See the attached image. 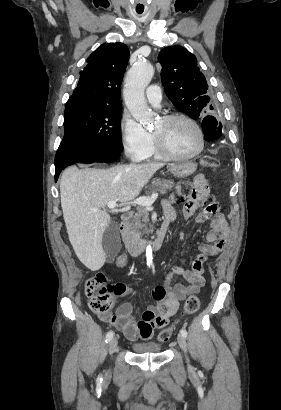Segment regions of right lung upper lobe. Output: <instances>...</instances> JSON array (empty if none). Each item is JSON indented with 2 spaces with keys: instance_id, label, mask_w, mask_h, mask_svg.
I'll list each match as a JSON object with an SVG mask.
<instances>
[{
  "instance_id": "cb5924a9",
  "label": "right lung upper lobe",
  "mask_w": 281,
  "mask_h": 410,
  "mask_svg": "<svg viewBox=\"0 0 281 410\" xmlns=\"http://www.w3.org/2000/svg\"><path fill=\"white\" fill-rule=\"evenodd\" d=\"M129 60V49L123 43H105L87 59L80 80L68 105L121 108V83Z\"/></svg>"
}]
</instances>
